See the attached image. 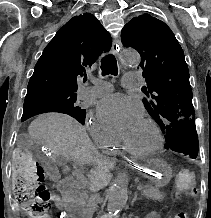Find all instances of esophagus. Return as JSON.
<instances>
[{"label": "esophagus", "mask_w": 211, "mask_h": 218, "mask_svg": "<svg viewBox=\"0 0 211 218\" xmlns=\"http://www.w3.org/2000/svg\"><path fill=\"white\" fill-rule=\"evenodd\" d=\"M122 48L121 41L115 40L112 45V52L115 55H118L120 50ZM119 160H123V163L125 164V167L127 168L128 172H142L143 168L141 167V163H138L137 159H128L126 152H121L118 156Z\"/></svg>", "instance_id": "obj_1"}]
</instances>
